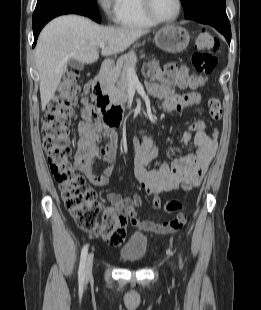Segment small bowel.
Returning a JSON list of instances; mask_svg holds the SVG:
<instances>
[{"label": "small bowel", "mask_w": 261, "mask_h": 310, "mask_svg": "<svg viewBox=\"0 0 261 310\" xmlns=\"http://www.w3.org/2000/svg\"><path fill=\"white\" fill-rule=\"evenodd\" d=\"M147 91L163 101V107L168 111L181 110L190 105L201 102V95L195 90L179 93L164 84L149 82ZM88 87L81 100V115L83 121L77 127L78 142L74 158V167L81 171L85 178L93 185L104 186L109 182L114 172L117 160V136L110 129L98 128L91 119L93 108L87 97ZM196 146V152L174 160L171 164L162 163L152 170L147 166L158 154V147L154 137L144 131L142 142L134 141V175L142 189L153 197L155 207L159 206L158 195L162 192L178 189L186 182L198 185L217 150L216 137L208 136L204 131V123L197 121L189 126L182 135V141L186 144L192 139ZM98 161L105 163L100 173L95 172ZM111 207L105 210L104 215L126 214L131 225L142 230H149V221H141L136 213V207L141 205V197L134 194L130 197H122L113 192L107 194Z\"/></svg>", "instance_id": "small-bowel-1"}]
</instances>
